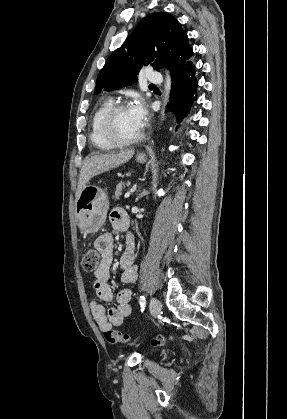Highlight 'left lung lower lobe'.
<instances>
[{
  "label": "left lung lower lobe",
  "instance_id": "obj_1",
  "mask_svg": "<svg viewBox=\"0 0 287 419\" xmlns=\"http://www.w3.org/2000/svg\"><path fill=\"white\" fill-rule=\"evenodd\" d=\"M194 74L195 67L192 62L171 73L172 89L167 109L175 112L178 123L188 114L193 101L196 100L198 82Z\"/></svg>",
  "mask_w": 287,
  "mask_h": 419
}]
</instances>
